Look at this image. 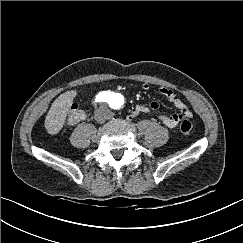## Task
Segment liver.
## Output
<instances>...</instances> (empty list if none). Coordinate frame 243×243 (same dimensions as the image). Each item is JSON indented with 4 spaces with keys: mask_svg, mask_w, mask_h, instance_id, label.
Returning a JSON list of instances; mask_svg holds the SVG:
<instances>
[{
    "mask_svg": "<svg viewBox=\"0 0 243 243\" xmlns=\"http://www.w3.org/2000/svg\"><path fill=\"white\" fill-rule=\"evenodd\" d=\"M75 96L76 91H67L54 100L45 119V128L49 134H57L62 129Z\"/></svg>",
    "mask_w": 243,
    "mask_h": 243,
    "instance_id": "1",
    "label": "liver"
}]
</instances>
